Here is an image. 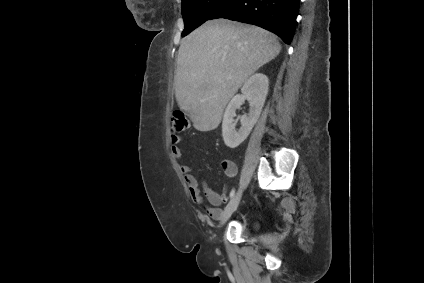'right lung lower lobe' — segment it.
I'll use <instances>...</instances> for the list:
<instances>
[{
  "label": "right lung lower lobe",
  "instance_id": "obj_1",
  "mask_svg": "<svg viewBox=\"0 0 424 283\" xmlns=\"http://www.w3.org/2000/svg\"><path fill=\"white\" fill-rule=\"evenodd\" d=\"M299 0H228L209 20L225 18L254 24L280 36L290 44Z\"/></svg>",
  "mask_w": 424,
  "mask_h": 283
}]
</instances>
